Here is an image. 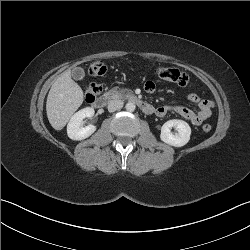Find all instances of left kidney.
Masks as SVG:
<instances>
[{
	"label": "left kidney",
	"instance_id": "left-kidney-1",
	"mask_svg": "<svg viewBox=\"0 0 250 250\" xmlns=\"http://www.w3.org/2000/svg\"><path fill=\"white\" fill-rule=\"evenodd\" d=\"M175 128L177 133L173 134L171 129ZM191 128L187 122L183 120H169L165 122L161 128V140L174 147H182L190 140Z\"/></svg>",
	"mask_w": 250,
	"mask_h": 250
}]
</instances>
